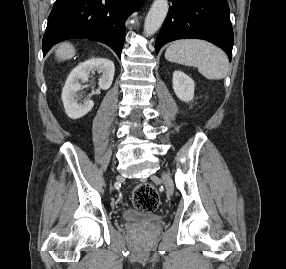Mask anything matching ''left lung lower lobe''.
<instances>
[{
  "label": "left lung lower lobe",
  "instance_id": "0a47b994",
  "mask_svg": "<svg viewBox=\"0 0 286 269\" xmlns=\"http://www.w3.org/2000/svg\"><path fill=\"white\" fill-rule=\"evenodd\" d=\"M173 2L155 43L156 53L167 42L205 39L232 56L233 30L227 0H169Z\"/></svg>",
  "mask_w": 286,
  "mask_h": 269
}]
</instances>
